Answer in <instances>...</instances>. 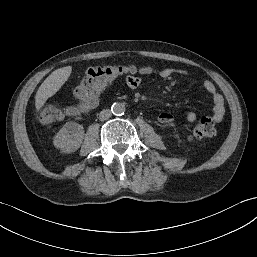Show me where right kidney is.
Listing matches in <instances>:
<instances>
[{"instance_id": "obj_1", "label": "right kidney", "mask_w": 257, "mask_h": 257, "mask_svg": "<svg viewBox=\"0 0 257 257\" xmlns=\"http://www.w3.org/2000/svg\"><path fill=\"white\" fill-rule=\"evenodd\" d=\"M84 128L76 122H67L55 135L53 144L65 153L76 151L82 144Z\"/></svg>"}]
</instances>
